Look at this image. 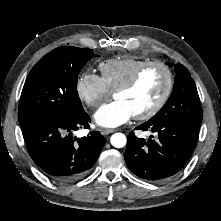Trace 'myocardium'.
Instances as JSON below:
<instances>
[{"label":"myocardium","instance_id":"1","mask_svg":"<svg viewBox=\"0 0 221 221\" xmlns=\"http://www.w3.org/2000/svg\"><path fill=\"white\" fill-rule=\"evenodd\" d=\"M159 67L163 70L166 77L165 88L159 97V99L155 102V104L148 109L147 111L139 114H135L134 118L136 120H147L154 117L156 114L160 112V110L165 106L168 99L170 98L173 88H174V76L170 67L159 60H152L143 63L136 71L121 85L113 90V95L115 96L117 93L124 92L132 88L137 84L143 73L148 70L150 67Z\"/></svg>","mask_w":221,"mask_h":221}]
</instances>
